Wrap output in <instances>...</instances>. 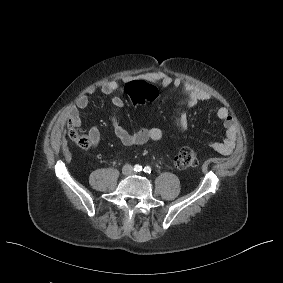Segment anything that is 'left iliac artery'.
Returning <instances> with one entry per match:
<instances>
[{"mask_svg":"<svg viewBox=\"0 0 283 283\" xmlns=\"http://www.w3.org/2000/svg\"><path fill=\"white\" fill-rule=\"evenodd\" d=\"M143 171L145 172V173H151V168L149 167V166H146L144 169H143Z\"/></svg>","mask_w":283,"mask_h":283,"instance_id":"obj_1","label":"left iliac artery"}]
</instances>
